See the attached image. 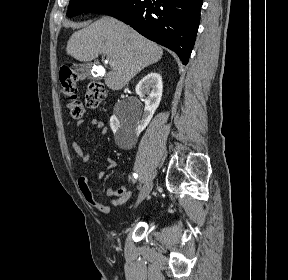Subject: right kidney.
Listing matches in <instances>:
<instances>
[{"label":"right kidney","instance_id":"1","mask_svg":"<svg viewBox=\"0 0 288 280\" xmlns=\"http://www.w3.org/2000/svg\"><path fill=\"white\" fill-rule=\"evenodd\" d=\"M162 77L158 73H149L136 85V94L145 104L142 119L136 124L125 127L117 117L112 116L110 126L115 135L118 145L123 146L125 141L130 144L136 141L139 134L147 127L151 121L156 109L158 108L162 97Z\"/></svg>","mask_w":288,"mask_h":280}]
</instances>
